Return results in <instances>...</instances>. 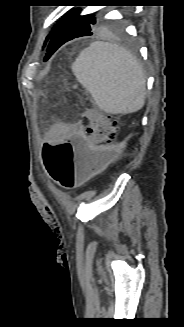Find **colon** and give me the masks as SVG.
<instances>
[{
	"label": "colon",
	"mask_w": 184,
	"mask_h": 327,
	"mask_svg": "<svg viewBox=\"0 0 184 327\" xmlns=\"http://www.w3.org/2000/svg\"><path fill=\"white\" fill-rule=\"evenodd\" d=\"M86 117L88 125L81 128L75 145L65 140L47 142L43 148L48 173L64 189L81 186L106 167L117 152L112 144L120 128L119 120L96 110H88Z\"/></svg>",
	"instance_id": "5ec220e1"
}]
</instances>
